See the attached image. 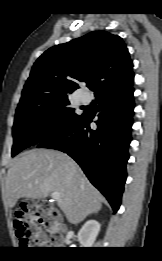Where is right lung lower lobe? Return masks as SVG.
<instances>
[{"label":"right lung lower lobe","mask_w":162,"mask_h":261,"mask_svg":"<svg viewBox=\"0 0 162 261\" xmlns=\"http://www.w3.org/2000/svg\"><path fill=\"white\" fill-rule=\"evenodd\" d=\"M133 93L131 84L96 97L100 105L96 130L89 126L92 116L84 113L71 125L37 145L71 156L107 198L114 212L120 207L127 178L126 164L135 107Z\"/></svg>","instance_id":"right-lung-lower-lobe-1"}]
</instances>
